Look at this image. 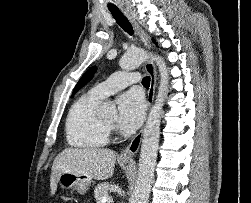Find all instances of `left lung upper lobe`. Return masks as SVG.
<instances>
[{
    "instance_id": "obj_1",
    "label": "left lung upper lobe",
    "mask_w": 251,
    "mask_h": 203,
    "mask_svg": "<svg viewBox=\"0 0 251 203\" xmlns=\"http://www.w3.org/2000/svg\"><path fill=\"white\" fill-rule=\"evenodd\" d=\"M96 71V68L95 66L91 67L81 78L80 80L78 81L77 85L75 86L74 90H73V93L77 92L79 89H81L86 83H88L94 73Z\"/></svg>"
}]
</instances>
